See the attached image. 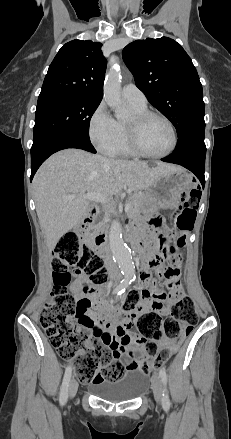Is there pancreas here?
Instances as JSON below:
<instances>
[{
  "mask_svg": "<svg viewBox=\"0 0 231 439\" xmlns=\"http://www.w3.org/2000/svg\"><path fill=\"white\" fill-rule=\"evenodd\" d=\"M143 201H144L143 195H141L139 193H134L130 197L129 202H128L130 209L127 212V215L129 218L135 217L140 212L141 205H142ZM103 220L108 221L109 220L108 215H106Z\"/></svg>",
  "mask_w": 231,
  "mask_h": 439,
  "instance_id": "pancreas-1",
  "label": "pancreas"
}]
</instances>
